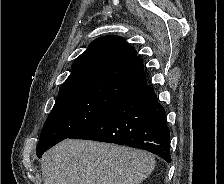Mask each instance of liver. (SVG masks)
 <instances>
[{
  "mask_svg": "<svg viewBox=\"0 0 224 184\" xmlns=\"http://www.w3.org/2000/svg\"><path fill=\"white\" fill-rule=\"evenodd\" d=\"M155 168L143 150L85 140H64L42 158L44 184H140Z\"/></svg>",
  "mask_w": 224,
  "mask_h": 184,
  "instance_id": "liver-1",
  "label": "liver"
}]
</instances>
